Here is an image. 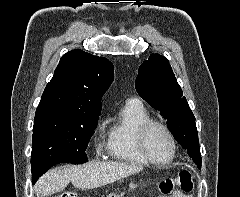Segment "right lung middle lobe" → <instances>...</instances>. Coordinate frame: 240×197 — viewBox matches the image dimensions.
<instances>
[{
    "mask_svg": "<svg viewBox=\"0 0 240 197\" xmlns=\"http://www.w3.org/2000/svg\"><path fill=\"white\" fill-rule=\"evenodd\" d=\"M98 119L99 116L36 115L31 153L33 183L57 163L87 162L86 148Z\"/></svg>",
    "mask_w": 240,
    "mask_h": 197,
    "instance_id": "right-lung-middle-lobe-1",
    "label": "right lung middle lobe"
}]
</instances>
